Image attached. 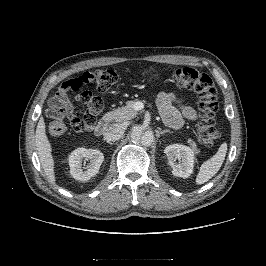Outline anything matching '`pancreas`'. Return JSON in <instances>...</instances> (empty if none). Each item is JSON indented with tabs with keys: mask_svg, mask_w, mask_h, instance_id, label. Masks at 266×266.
I'll return each instance as SVG.
<instances>
[{
	"mask_svg": "<svg viewBox=\"0 0 266 266\" xmlns=\"http://www.w3.org/2000/svg\"><path fill=\"white\" fill-rule=\"evenodd\" d=\"M136 101H128L125 106L115 109L114 111L108 112L107 116L109 121L125 122L136 117L138 112L134 109ZM189 145L198 153L196 143L192 139H188Z\"/></svg>",
	"mask_w": 266,
	"mask_h": 266,
	"instance_id": "obj_1",
	"label": "pancreas"
}]
</instances>
